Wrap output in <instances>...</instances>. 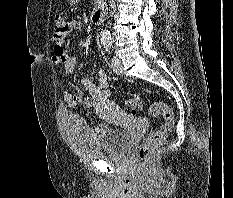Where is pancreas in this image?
Wrapping results in <instances>:
<instances>
[{
    "instance_id": "1",
    "label": "pancreas",
    "mask_w": 233,
    "mask_h": 198,
    "mask_svg": "<svg viewBox=\"0 0 233 198\" xmlns=\"http://www.w3.org/2000/svg\"><path fill=\"white\" fill-rule=\"evenodd\" d=\"M102 0H95V3H99V2H101Z\"/></svg>"
}]
</instances>
